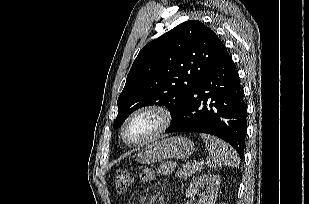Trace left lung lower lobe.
Instances as JSON below:
<instances>
[{"label": "left lung lower lobe", "instance_id": "obj_1", "mask_svg": "<svg viewBox=\"0 0 309 204\" xmlns=\"http://www.w3.org/2000/svg\"><path fill=\"white\" fill-rule=\"evenodd\" d=\"M246 104L239 74L226 51L208 70L184 106L172 118L166 133L199 132L232 145L243 159L247 132Z\"/></svg>", "mask_w": 309, "mask_h": 204}]
</instances>
